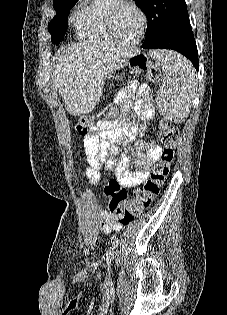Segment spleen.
<instances>
[{"mask_svg":"<svg viewBox=\"0 0 227 315\" xmlns=\"http://www.w3.org/2000/svg\"><path fill=\"white\" fill-rule=\"evenodd\" d=\"M162 67L164 78L157 94V108L161 115L175 122H183L189 114L194 96V71L188 60L172 51L150 53Z\"/></svg>","mask_w":227,"mask_h":315,"instance_id":"1","label":"spleen"}]
</instances>
